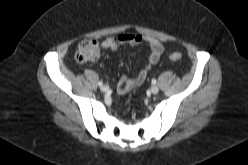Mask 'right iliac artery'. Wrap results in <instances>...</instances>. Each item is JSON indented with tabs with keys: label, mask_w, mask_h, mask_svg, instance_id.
Here are the masks:
<instances>
[{
	"label": "right iliac artery",
	"mask_w": 248,
	"mask_h": 165,
	"mask_svg": "<svg viewBox=\"0 0 248 165\" xmlns=\"http://www.w3.org/2000/svg\"><path fill=\"white\" fill-rule=\"evenodd\" d=\"M98 85H99V86H102V85H103V82H102V81H99V82H98Z\"/></svg>",
	"instance_id": "82829eb1"
}]
</instances>
